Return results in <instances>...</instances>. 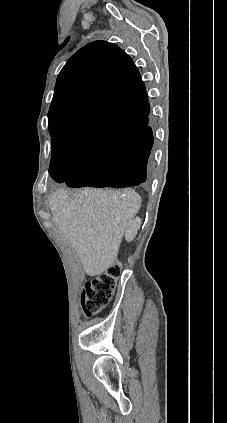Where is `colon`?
<instances>
[{
	"label": "colon",
	"instance_id": "1",
	"mask_svg": "<svg viewBox=\"0 0 227 423\" xmlns=\"http://www.w3.org/2000/svg\"><path fill=\"white\" fill-rule=\"evenodd\" d=\"M120 273L121 267L115 263L105 272L86 282L80 295L84 316L95 315L107 305L113 295Z\"/></svg>",
	"mask_w": 227,
	"mask_h": 423
}]
</instances>
